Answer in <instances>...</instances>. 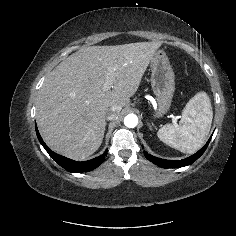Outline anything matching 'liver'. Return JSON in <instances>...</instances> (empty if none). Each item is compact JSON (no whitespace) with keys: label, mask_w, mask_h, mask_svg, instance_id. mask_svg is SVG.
<instances>
[{"label":"liver","mask_w":236,"mask_h":236,"mask_svg":"<svg viewBox=\"0 0 236 236\" xmlns=\"http://www.w3.org/2000/svg\"><path fill=\"white\" fill-rule=\"evenodd\" d=\"M160 46L152 41L83 47L57 65L37 101L36 120L45 143L74 160L96 152L107 110L116 106L119 114L130 103Z\"/></svg>","instance_id":"1"}]
</instances>
